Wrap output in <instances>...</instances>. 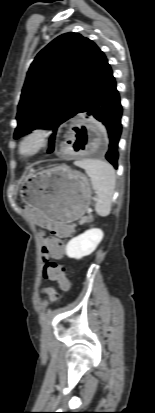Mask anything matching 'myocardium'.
<instances>
[{"instance_id": "f54148a6", "label": "myocardium", "mask_w": 155, "mask_h": 413, "mask_svg": "<svg viewBox=\"0 0 155 413\" xmlns=\"http://www.w3.org/2000/svg\"><path fill=\"white\" fill-rule=\"evenodd\" d=\"M50 134V130L43 126L30 129L21 137L18 143V154L22 158L34 157L46 147ZM26 146H29L27 151L25 150Z\"/></svg>"}]
</instances>
